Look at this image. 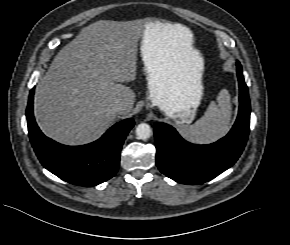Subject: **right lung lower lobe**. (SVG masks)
<instances>
[{"label":"right lung lower lobe","mask_w":290,"mask_h":245,"mask_svg":"<svg viewBox=\"0 0 290 245\" xmlns=\"http://www.w3.org/2000/svg\"><path fill=\"white\" fill-rule=\"evenodd\" d=\"M34 89L26 109L28 133L41 164L50 172L74 185L95 186L112 178L119 167L123 142L134 126L125 119L112 126L97 141L82 146H66L46 137L33 115Z\"/></svg>","instance_id":"obj_1"}]
</instances>
